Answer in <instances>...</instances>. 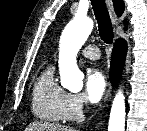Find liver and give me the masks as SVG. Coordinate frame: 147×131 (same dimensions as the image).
<instances>
[{
    "instance_id": "liver-1",
    "label": "liver",
    "mask_w": 147,
    "mask_h": 131,
    "mask_svg": "<svg viewBox=\"0 0 147 131\" xmlns=\"http://www.w3.org/2000/svg\"><path fill=\"white\" fill-rule=\"evenodd\" d=\"M25 131H76L74 128L53 124L48 122H33L29 124Z\"/></svg>"
}]
</instances>
